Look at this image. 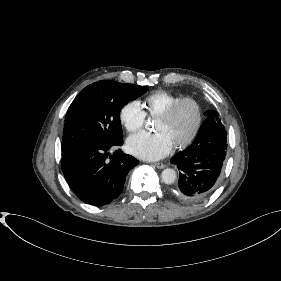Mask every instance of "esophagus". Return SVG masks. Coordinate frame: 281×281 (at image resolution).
I'll return each mask as SVG.
<instances>
[{"mask_svg":"<svg viewBox=\"0 0 281 281\" xmlns=\"http://www.w3.org/2000/svg\"><path fill=\"white\" fill-rule=\"evenodd\" d=\"M154 166L159 168V169L165 168V165L163 163H155Z\"/></svg>","mask_w":281,"mask_h":281,"instance_id":"1","label":"esophagus"}]
</instances>
